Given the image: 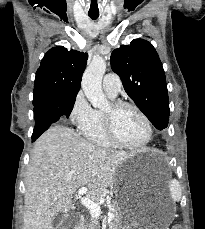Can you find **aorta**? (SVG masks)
Masks as SVG:
<instances>
[{
    "label": "aorta",
    "instance_id": "762f6f07",
    "mask_svg": "<svg viewBox=\"0 0 205 229\" xmlns=\"http://www.w3.org/2000/svg\"><path fill=\"white\" fill-rule=\"evenodd\" d=\"M105 71V60L102 57H94L82 77L81 86L84 94L95 108H103L108 103L102 90V78Z\"/></svg>",
    "mask_w": 205,
    "mask_h": 229
}]
</instances>
